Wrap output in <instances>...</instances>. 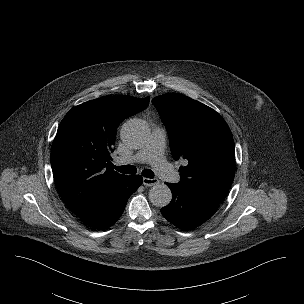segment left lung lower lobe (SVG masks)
<instances>
[{
  "mask_svg": "<svg viewBox=\"0 0 304 304\" xmlns=\"http://www.w3.org/2000/svg\"><path fill=\"white\" fill-rule=\"evenodd\" d=\"M172 191V201L161 209L162 215L180 229L190 230L208 220L220 203L182 188L176 183H166Z\"/></svg>",
  "mask_w": 304,
  "mask_h": 304,
  "instance_id": "obj_1",
  "label": "left lung lower lobe"
}]
</instances>
